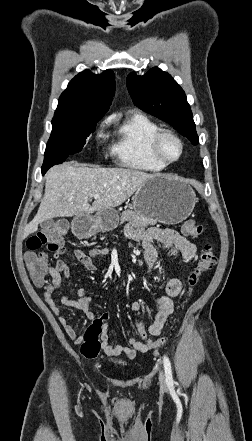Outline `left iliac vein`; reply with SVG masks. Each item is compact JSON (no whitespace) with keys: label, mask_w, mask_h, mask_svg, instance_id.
<instances>
[{"label":"left iliac vein","mask_w":252,"mask_h":441,"mask_svg":"<svg viewBox=\"0 0 252 441\" xmlns=\"http://www.w3.org/2000/svg\"><path fill=\"white\" fill-rule=\"evenodd\" d=\"M159 382H160L161 386L166 385L165 374L163 371H160V373H159Z\"/></svg>","instance_id":"obj_1"}]
</instances>
